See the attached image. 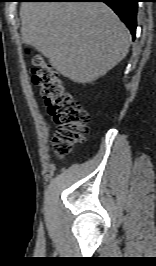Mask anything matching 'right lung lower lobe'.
Masks as SVG:
<instances>
[{
	"label": "right lung lower lobe",
	"mask_w": 156,
	"mask_h": 266,
	"mask_svg": "<svg viewBox=\"0 0 156 266\" xmlns=\"http://www.w3.org/2000/svg\"><path fill=\"white\" fill-rule=\"evenodd\" d=\"M48 2H104L111 7L135 38L138 0H34Z\"/></svg>",
	"instance_id": "1"
}]
</instances>
